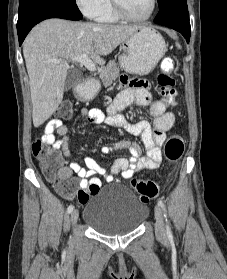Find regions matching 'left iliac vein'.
<instances>
[{
	"instance_id": "4c4485c4",
	"label": "left iliac vein",
	"mask_w": 227,
	"mask_h": 279,
	"mask_svg": "<svg viewBox=\"0 0 227 279\" xmlns=\"http://www.w3.org/2000/svg\"><path fill=\"white\" fill-rule=\"evenodd\" d=\"M155 219H156V233L159 237H165L166 236V230L164 227V218L163 213L160 208V206L155 207Z\"/></svg>"
}]
</instances>
